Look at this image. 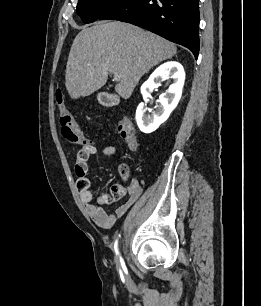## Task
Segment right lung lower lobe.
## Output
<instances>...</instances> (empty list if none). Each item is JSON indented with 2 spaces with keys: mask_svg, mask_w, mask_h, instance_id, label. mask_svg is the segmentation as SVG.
Masks as SVG:
<instances>
[{
  "mask_svg": "<svg viewBox=\"0 0 261 306\" xmlns=\"http://www.w3.org/2000/svg\"><path fill=\"white\" fill-rule=\"evenodd\" d=\"M99 19L128 22L199 52L198 0H120Z\"/></svg>",
  "mask_w": 261,
  "mask_h": 306,
  "instance_id": "right-lung-lower-lobe-1",
  "label": "right lung lower lobe"
}]
</instances>
